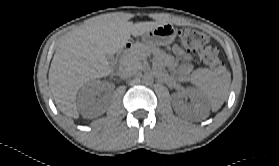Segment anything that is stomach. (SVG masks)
<instances>
[{"label": "stomach", "mask_w": 279, "mask_h": 166, "mask_svg": "<svg viewBox=\"0 0 279 166\" xmlns=\"http://www.w3.org/2000/svg\"><path fill=\"white\" fill-rule=\"evenodd\" d=\"M176 37V31L170 24H161L145 33L142 40L151 46H165L171 44Z\"/></svg>", "instance_id": "stomach-1"}]
</instances>
